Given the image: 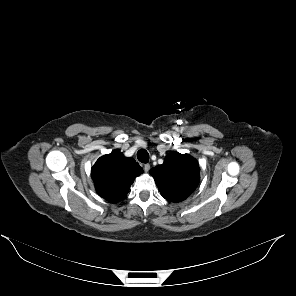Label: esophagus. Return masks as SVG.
<instances>
[{
  "instance_id": "esophagus-1",
  "label": "esophagus",
  "mask_w": 296,
  "mask_h": 296,
  "mask_svg": "<svg viewBox=\"0 0 296 296\" xmlns=\"http://www.w3.org/2000/svg\"><path fill=\"white\" fill-rule=\"evenodd\" d=\"M150 170V164H145L144 165V171L148 172Z\"/></svg>"
}]
</instances>
